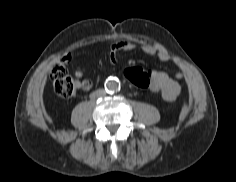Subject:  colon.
<instances>
[{"instance_id":"5ec220e1","label":"colon","mask_w":236,"mask_h":182,"mask_svg":"<svg viewBox=\"0 0 236 182\" xmlns=\"http://www.w3.org/2000/svg\"><path fill=\"white\" fill-rule=\"evenodd\" d=\"M125 77L133 86L146 89L149 88L152 81L150 71L140 67H130L125 70ZM50 78L53 83L54 90L62 97H71L76 94L79 84L72 77L64 63H56L50 72Z\"/></svg>"}]
</instances>
